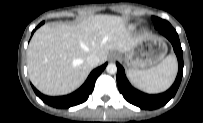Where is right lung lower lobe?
Returning <instances> with one entry per match:
<instances>
[{"label": "right lung lower lobe", "instance_id": "obj_1", "mask_svg": "<svg viewBox=\"0 0 203 123\" xmlns=\"http://www.w3.org/2000/svg\"><path fill=\"white\" fill-rule=\"evenodd\" d=\"M42 24L43 23L39 24L38 27L41 26ZM34 31L32 32V34L34 33ZM106 65L107 63L94 69L88 76L85 83L78 90L66 96H59V97L46 96L40 93L35 87L33 86L32 87L36 95L49 106H52L55 108H69V107L81 104L88 99L89 95L92 93L94 89V85L97 77L105 69Z\"/></svg>", "mask_w": 203, "mask_h": 123}]
</instances>
